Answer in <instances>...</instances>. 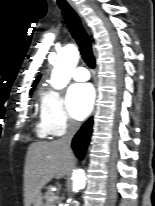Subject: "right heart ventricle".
I'll list each match as a JSON object with an SVG mask.
<instances>
[{"instance_id":"1","label":"right heart ventricle","mask_w":155,"mask_h":206,"mask_svg":"<svg viewBox=\"0 0 155 206\" xmlns=\"http://www.w3.org/2000/svg\"><path fill=\"white\" fill-rule=\"evenodd\" d=\"M38 135L40 137H46L49 133V131L47 130V128L44 126V124H40L38 125V129H37Z\"/></svg>"}]
</instances>
